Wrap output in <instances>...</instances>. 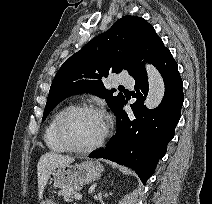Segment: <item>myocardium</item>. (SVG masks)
I'll use <instances>...</instances> for the list:
<instances>
[{
  "instance_id": "1",
  "label": "myocardium",
  "mask_w": 212,
  "mask_h": 204,
  "mask_svg": "<svg viewBox=\"0 0 212 204\" xmlns=\"http://www.w3.org/2000/svg\"><path fill=\"white\" fill-rule=\"evenodd\" d=\"M80 111H88V112L97 113V114L101 115L104 120V128H103V132H102L101 136L98 138L97 141H95L94 143H92L91 145L86 146V147H78V146H75L74 144H72L71 141L69 140V138L66 134V130H65V125H66L68 118L72 114H74L76 112H80ZM109 131H110L109 118H108L107 114L105 113V111L97 106L89 105V104L73 105V106L66 108L63 111V113L60 115L58 122H57V126H56L57 136H58L59 141L62 143V145L68 151H71L74 153H80V154L90 153V152L98 149L100 146H102V144L105 142V140L109 134Z\"/></svg>"
}]
</instances>
